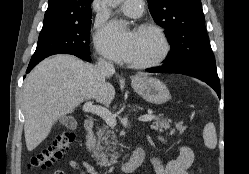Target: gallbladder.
<instances>
[{"label":"gallbladder","instance_id":"bac80fb5","mask_svg":"<svg viewBox=\"0 0 249 174\" xmlns=\"http://www.w3.org/2000/svg\"><path fill=\"white\" fill-rule=\"evenodd\" d=\"M59 122L70 129H75L77 127V121L74 117L63 116L59 118Z\"/></svg>","mask_w":249,"mask_h":174}]
</instances>
